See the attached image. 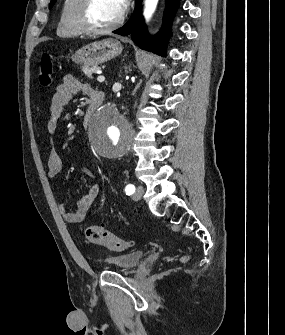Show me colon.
<instances>
[{"mask_svg": "<svg viewBox=\"0 0 285 335\" xmlns=\"http://www.w3.org/2000/svg\"><path fill=\"white\" fill-rule=\"evenodd\" d=\"M55 56L51 53H44L40 59L38 78L40 85L47 89L52 83ZM85 237L93 244L104 246L112 251L121 252L127 250L131 243L125 241L102 226L89 225L84 230ZM188 255H183L181 261H186Z\"/></svg>", "mask_w": 285, "mask_h": 335, "instance_id": "obj_1", "label": "colon"}]
</instances>
